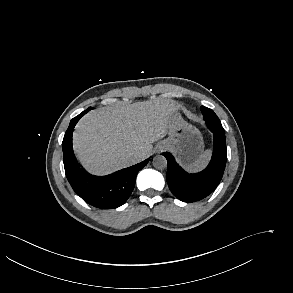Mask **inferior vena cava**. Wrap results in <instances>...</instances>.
Masks as SVG:
<instances>
[{
  "label": "inferior vena cava",
  "instance_id": "602c4592",
  "mask_svg": "<svg viewBox=\"0 0 293 293\" xmlns=\"http://www.w3.org/2000/svg\"><path fill=\"white\" fill-rule=\"evenodd\" d=\"M134 159H135L136 161H139V160L141 159V155H140V154H135V155H134Z\"/></svg>",
  "mask_w": 293,
  "mask_h": 293
}]
</instances>
